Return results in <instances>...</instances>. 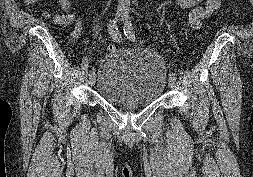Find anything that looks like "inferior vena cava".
<instances>
[{
	"label": "inferior vena cava",
	"mask_w": 253,
	"mask_h": 177,
	"mask_svg": "<svg viewBox=\"0 0 253 177\" xmlns=\"http://www.w3.org/2000/svg\"><path fill=\"white\" fill-rule=\"evenodd\" d=\"M119 6H129L130 5V0H118Z\"/></svg>",
	"instance_id": "602c4592"
}]
</instances>
